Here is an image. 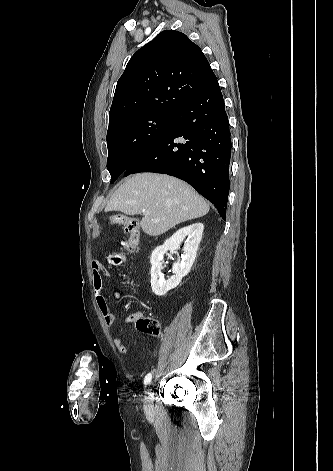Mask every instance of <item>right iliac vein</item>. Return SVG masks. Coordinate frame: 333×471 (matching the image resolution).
<instances>
[{"mask_svg": "<svg viewBox=\"0 0 333 471\" xmlns=\"http://www.w3.org/2000/svg\"><path fill=\"white\" fill-rule=\"evenodd\" d=\"M152 391H153V385L148 384L147 391L144 398V407L147 411H149L152 407Z\"/></svg>", "mask_w": 333, "mask_h": 471, "instance_id": "63e3f726", "label": "right iliac vein"}]
</instances>
